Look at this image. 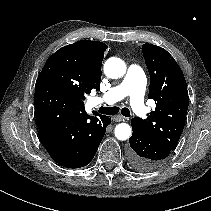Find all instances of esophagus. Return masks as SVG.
<instances>
[{"mask_svg":"<svg viewBox=\"0 0 211 211\" xmlns=\"http://www.w3.org/2000/svg\"><path fill=\"white\" fill-rule=\"evenodd\" d=\"M112 119L114 122H120V121H124L126 118L122 115H116V116H113Z\"/></svg>","mask_w":211,"mask_h":211,"instance_id":"obj_1","label":"esophagus"}]
</instances>
